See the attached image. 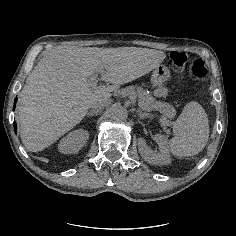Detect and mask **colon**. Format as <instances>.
<instances>
[{
    "label": "colon",
    "instance_id": "colon-1",
    "mask_svg": "<svg viewBox=\"0 0 236 236\" xmlns=\"http://www.w3.org/2000/svg\"><path fill=\"white\" fill-rule=\"evenodd\" d=\"M169 60L174 69L178 71L180 68L186 66L190 61L188 52L174 50L169 55ZM207 75V67L203 59L195 57L190 67V77L194 80H201Z\"/></svg>",
    "mask_w": 236,
    "mask_h": 236
}]
</instances>
